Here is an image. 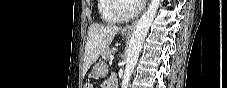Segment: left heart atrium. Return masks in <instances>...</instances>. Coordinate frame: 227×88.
<instances>
[{
    "instance_id": "obj_1",
    "label": "left heart atrium",
    "mask_w": 227,
    "mask_h": 88,
    "mask_svg": "<svg viewBox=\"0 0 227 88\" xmlns=\"http://www.w3.org/2000/svg\"><path fill=\"white\" fill-rule=\"evenodd\" d=\"M133 3L136 5V6H140L144 3L143 0H134Z\"/></svg>"
}]
</instances>
